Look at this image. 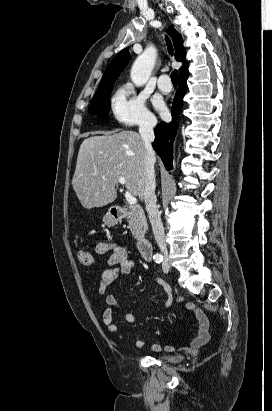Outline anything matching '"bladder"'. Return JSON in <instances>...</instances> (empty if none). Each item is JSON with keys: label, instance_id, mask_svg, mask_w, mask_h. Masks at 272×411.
<instances>
[{"label": "bladder", "instance_id": "1", "mask_svg": "<svg viewBox=\"0 0 272 411\" xmlns=\"http://www.w3.org/2000/svg\"><path fill=\"white\" fill-rule=\"evenodd\" d=\"M162 361L168 362V363H178L182 360V356L178 354H173V355H162L160 357Z\"/></svg>", "mask_w": 272, "mask_h": 411}]
</instances>
